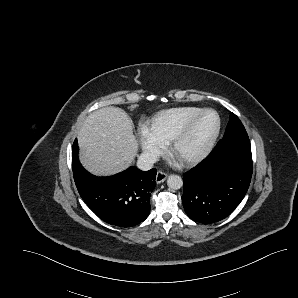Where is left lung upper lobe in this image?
I'll return each instance as SVG.
<instances>
[{"instance_id":"left-lung-upper-lobe-1","label":"left lung upper lobe","mask_w":298,"mask_h":298,"mask_svg":"<svg viewBox=\"0 0 298 298\" xmlns=\"http://www.w3.org/2000/svg\"><path fill=\"white\" fill-rule=\"evenodd\" d=\"M238 130H245V128L241 123V121L239 120V118L235 114L231 113L230 120L226 127L225 134H229L231 132L238 131Z\"/></svg>"}]
</instances>
